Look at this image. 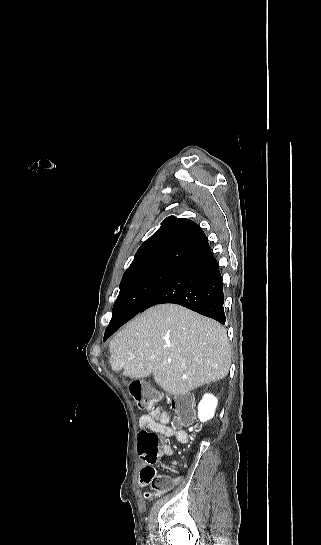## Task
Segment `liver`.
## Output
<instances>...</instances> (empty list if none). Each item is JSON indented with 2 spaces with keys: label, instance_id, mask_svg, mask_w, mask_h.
<instances>
[{
  "label": "liver",
  "instance_id": "liver-1",
  "mask_svg": "<svg viewBox=\"0 0 321 545\" xmlns=\"http://www.w3.org/2000/svg\"><path fill=\"white\" fill-rule=\"evenodd\" d=\"M112 371L130 379L153 375L169 395H188L224 379L231 367L227 331L180 305H156L127 323L109 343Z\"/></svg>",
  "mask_w": 321,
  "mask_h": 545
}]
</instances>
